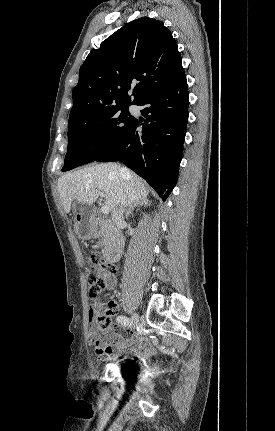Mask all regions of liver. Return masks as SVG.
<instances>
[{
  "mask_svg": "<svg viewBox=\"0 0 275 431\" xmlns=\"http://www.w3.org/2000/svg\"><path fill=\"white\" fill-rule=\"evenodd\" d=\"M122 170V172H121ZM102 191L110 211L146 200L145 182L128 168L116 163L96 164L62 175L58 179V193L65 213L73 201L92 205Z\"/></svg>",
  "mask_w": 275,
  "mask_h": 431,
  "instance_id": "obj_1",
  "label": "liver"
}]
</instances>
